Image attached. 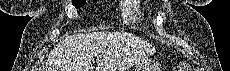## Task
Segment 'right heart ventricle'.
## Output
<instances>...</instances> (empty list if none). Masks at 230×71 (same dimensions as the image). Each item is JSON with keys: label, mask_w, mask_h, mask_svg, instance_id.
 I'll return each mask as SVG.
<instances>
[{"label": "right heart ventricle", "mask_w": 230, "mask_h": 71, "mask_svg": "<svg viewBox=\"0 0 230 71\" xmlns=\"http://www.w3.org/2000/svg\"><path fill=\"white\" fill-rule=\"evenodd\" d=\"M139 2L140 1H130L125 7H123V16L126 21H134L138 18L140 13Z\"/></svg>", "instance_id": "1"}]
</instances>
